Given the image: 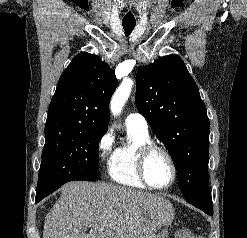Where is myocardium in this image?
<instances>
[{"instance_id": "f54148a6", "label": "myocardium", "mask_w": 247, "mask_h": 238, "mask_svg": "<svg viewBox=\"0 0 247 238\" xmlns=\"http://www.w3.org/2000/svg\"><path fill=\"white\" fill-rule=\"evenodd\" d=\"M155 151L161 152L167 158V160L170 163L171 169H172L171 180L169 181L168 184L164 186H155L151 184L147 178L146 163H147L149 156ZM137 171H138L139 177L142 180V182L147 187L154 189V190H166L170 188L176 181L177 173H178L176 162L174 160V157L170 153V151L164 146L153 143V142L146 143L140 148L138 159H137Z\"/></svg>"}]
</instances>
